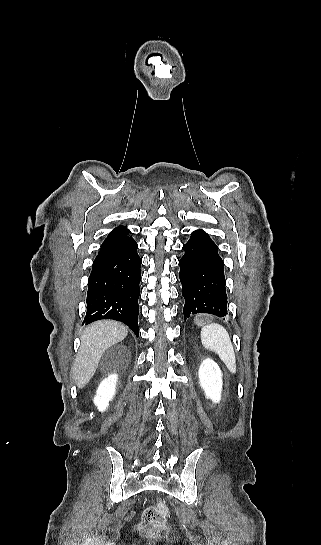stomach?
Masks as SVG:
<instances>
[{
	"label": "stomach",
	"instance_id": "0dacf381",
	"mask_svg": "<svg viewBox=\"0 0 321 545\" xmlns=\"http://www.w3.org/2000/svg\"><path fill=\"white\" fill-rule=\"evenodd\" d=\"M200 317H196V321H199Z\"/></svg>",
	"mask_w": 321,
	"mask_h": 545
}]
</instances>
